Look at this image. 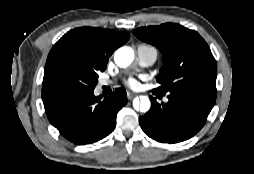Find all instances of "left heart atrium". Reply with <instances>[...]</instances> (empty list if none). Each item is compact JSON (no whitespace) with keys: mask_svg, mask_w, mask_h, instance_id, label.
Instances as JSON below:
<instances>
[{"mask_svg":"<svg viewBox=\"0 0 254 174\" xmlns=\"http://www.w3.org/2000/svg\"><path fill=\"white\" fill-rule=\"evenodd\" d=\"M126 85L130 87L131 89H137L139 88V81L135 78H128L126 80Z\"/></svg>","mask_w":254,"mask_h":174,"instance_id":"obj_1","label":"left heart atrium"}]
</instances>
